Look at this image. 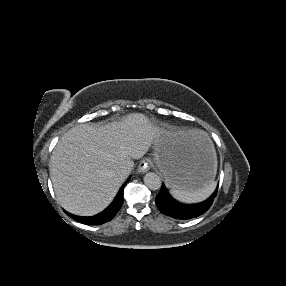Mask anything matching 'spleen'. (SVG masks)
<instances>
[{
	"label": "spleen",
	"mask_w": 286,
	"mask_h": 286,
	"mask_svg": "<svg viewBox=\"0 0 286 286\" xmlns=\"http://www.w3.org/2000/svg\"><path fill=\"white\" fill-rule=\"evenodd\" d=\"M216 182L212 181L208 186L202 189L190 191L179 187H172L171 195L180 202L197 203L205 200L214 191Z\"/></svg>",
	"instance_id": "spleen-1"
}]
</instances>
